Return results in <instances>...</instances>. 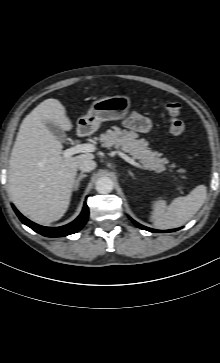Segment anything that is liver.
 <instances>
[{"label":"liver","mask_w":220,"mask_h":363,"mask_svg":"<svg viewBox=\"0 0 220 363\" xmlns=\"http://www.w3.org/2000/svg\"><path fill=\"white\" fill-rule=\"evenodd\" d=\"M46 122L57 124L63 131L73 128L59 100H44L23 119L8 171L9 193L15 206L41 224L57 221L65 214L79 162L94 158L91 153L62 157V144Z\"/></svg>","instance_id":"obj_1"}]
</instances>
